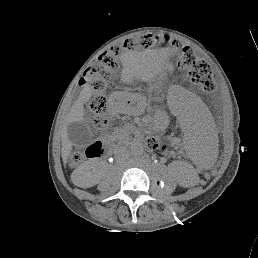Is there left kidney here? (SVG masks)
I'll use <instances>...</instances> for the list:
<instances>
[{"instance_id": "5707ae66", "label": "left kidney", "mask_w": 258, "mask_h": 258, "mask_svg": "<svg viewBox=\"0 0 258 258\" xmlns=\"http://www.w3.org/2000/svg\"><path fill=\"white\" fill-rule=\"evenodd\" d=\"M179 183L181 186H184V187H189L193 185V183L186 176L183 179H181Z\"/></svg>"}]
</instances>
